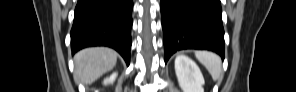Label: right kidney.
Segmentation results:
<instances>
[{
  "mask_svg": "<svg viewBox=\"0 0 296 92\" xmlns=\"http://www.w3.org/2000/svg\"><path fill=\"white\" fill-rule=\"evenodd\" d=\"M116 77H117V73L115 72L112 75H110V77L105 78L103 81V84L104 85L112 84L115 81Z\"/></svg>",
  "mask_w": 296,
  "mask_h": 92,
  "instance_id": "right-kidney-1",
  "label": "right kidney"
}]
</instances>
